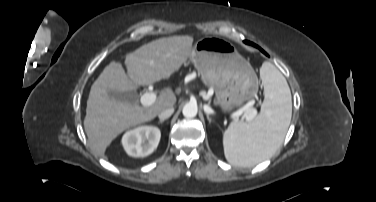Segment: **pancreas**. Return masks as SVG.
<instances>
[{
    "mask_svg": "<svg viewBox=\"0 0 376 202\" xmlns=\"http://www.w3.org/2000/svg\"><path fill=\"white\" fill-rule=\"evenodd\" d=\"M202 95H203L204 98L208 96V94L205 93V92H203ZM247 114H248V112H247Z\"/></svg>",
    "mask_w": 376,
    "mask_h": 202,
    "instance_id": "obj_1",
    "label": "pancreas"
}]
</instances>
